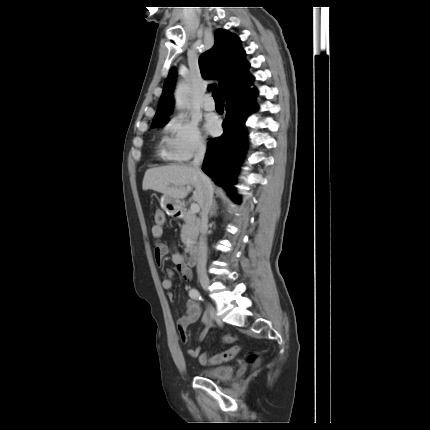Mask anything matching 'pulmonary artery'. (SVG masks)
<instances>
[{"label": "pulmonary artery", "instance_id": "pulmonary-artery-1", "mask_svg": "<svg viewBox=\"0 0 430 430\" xmlns=\"http://www.w3.org/2000/svg\"><path fill=\"white\" fill-rule=\"evenodd\" d=\"M203 107L207 111H213L216 108L215 102L210 95H207L203 102Z\"/></svg>", "mask_w": 430, "mask_h": 430}]
</instances>
